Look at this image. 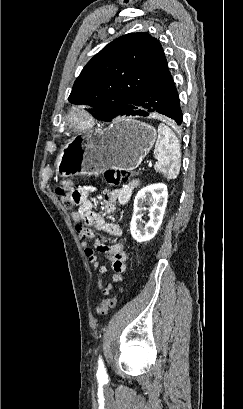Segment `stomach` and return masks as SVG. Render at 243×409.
<instances>
[{
	"mask_svg": "<svg viewBox=\"0 0 243 409\" xmlns=\"http://www.w3.org/2000/svg\"><path fill=\"white\" fill-rule=\"evenodd\" d=\"M156 129L144 122L120 118L108 128L71 139L56 159L61 177L98 175L108 169L134 170L149 153Z\"/></svg>",
	"mask_w": 243,
	"mask_h": 409,
	"instance_id": "stomach-1",
	"label": "stomach"
}]
</instances>
